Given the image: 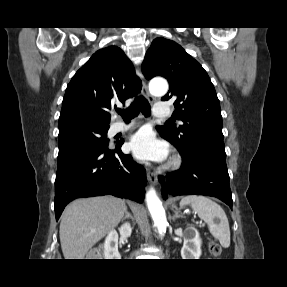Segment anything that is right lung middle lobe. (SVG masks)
<instances>
[{"label":"right lung middle lobe","mask_w":287,"mask_h":287,"mask_svg":"<svg viewBox=\"0 0 287 287\" xmlns=\"http://www.w3.org/2000/svg\"><path fill=\"white\" fill-rule=\"evenodd\" d=\"M109 125L90 122H76L59 127V150L72 145L108 147L107 131Z\"/></svg>","instance_id":"right-lung-middle-lobe-1"}]
</instances>
